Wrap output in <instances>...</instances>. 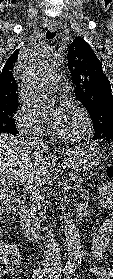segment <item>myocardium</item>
I'll list each match as a JSON object with an SVG mask.
<instances>
[{"instance_id": "myocardium-1", "label": "myocardium", "mask_w": 113, "mask_h": 279, "mask_svg": "<svg viewBox=\"0 0 113 279\" xmlns=\"http://www.w3.org/2000/svg\"><path fill=\"white\" fill-rule=\"evenodd\" d=\"M68 106L73 107L79 114L80 116V123L81 127L79 131H77L74 134H69V135H62L58 132H55V135L65 141H76L80 140L88 135V133L91 130V120L90 117L86 111V109L77 101L75 100H69L67 102Z\"/></svg>"}]
</instances>
